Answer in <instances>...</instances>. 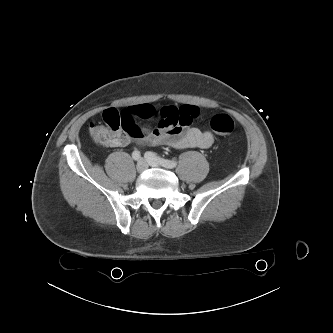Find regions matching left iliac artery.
Segmentation results:
<instances>
[{"label": "left iliac artery", "mask_w": 333, "mask_h": 333, "mask_svg": "<svg viewBox=\"0 0 333 333\" xmlns=\"http://www.w3.org/2000/svg\"><path fill=\"white\" fill-rule=\"evenodd\" d=\"M152 155L155 156V154H153L151 152H147L145 154V158L150 157ZM158 159L164 167L170 168V169L176 167L177 163H178L176 160H168V159H163V158H160V157H158Z\"/></svg>", "instance_id": "obj_1"}]
</instances>
